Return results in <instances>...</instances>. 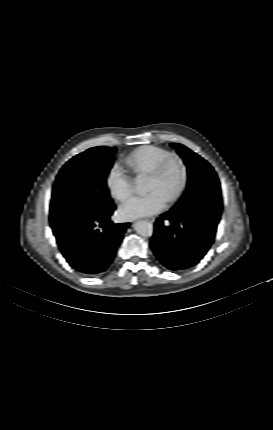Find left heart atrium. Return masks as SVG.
I'll return each mask as SVG.
<instances>
[{"label":"left heart atrium","instance_id":"left-heart-atrium-1","mask_svg":"<svg viewBox=\"0 0 273 430\" xmlns=\"http://www.w3.org/2000/svg\"><path fill=\"white\" fill-rule=\"evenodd\" d=\"M165 205V197L159 191L154 190L148 194L133 196L124 201L118 209V215L125 220L150 216L163 210Z\"/></svg>","mask_w":273,"mask_h":430}]
</instances>
